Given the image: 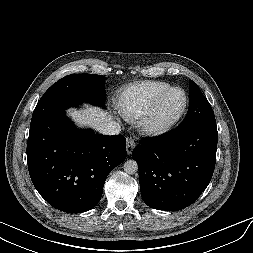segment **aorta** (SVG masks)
Here are the masks:
<instances>
[{
  "label": "aorta",
  "instance_id": "aorta-1",
  "mask_svg": "<svg viewBox=\"0 0 253 253\" xmlns=\"http://www.w3.org/2000/svg\"><path fill=\"white\" fill-rule=\"evenodd\" d=\"M123 168H124V171L127 174L132 175V174H135L138 171V164L134 160H127L124 163Z\"/></svg>",
  "mask_w": 253,
  "mask_h": 253
}]
</instances>
